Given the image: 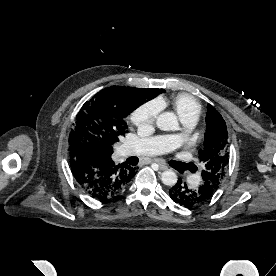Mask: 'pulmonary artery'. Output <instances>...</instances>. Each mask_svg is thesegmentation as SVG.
Instances as JSON below:
<instances>
[{
    "mask_svg": "<svg viewBox=\"0 0 276 276\" xmlns=\"http://www.w3.org/2000/svg\"><path fill=\"white\" fill-rule=\"evenodd\" d=\"M182 122L187 129H192L195 126L196 119H183ZM181 142L182 134L164 135L126 143L124 149H134L138 154L157 155L168 153L178 148Z\"/></svg>",
    "mask_w": 276,
    "mask_h": 276,
    "instance_id": "obj_1",
    "label": "pulmonary artery"
}]
</instances>
